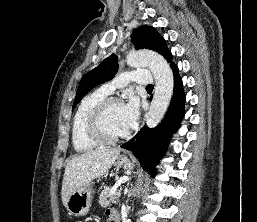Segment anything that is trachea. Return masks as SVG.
I'll return each instance as SVG.
<instances>
[{"label": "trachea", "mask_w": 257, "mask_h": 222, "mask_svg": "<svg viewBox=\"0 0 257 222\" xmlns=\"http://www.w3.org/2000/svg\"><path fill=\"white\" fill-rule=\"evenodd\" d=\"M146 88H148V89H149V88H150V89H153V85H151V84H150V85H147Z\"/></svg>", "instance_id": "trachea-1"}]
</instances>
